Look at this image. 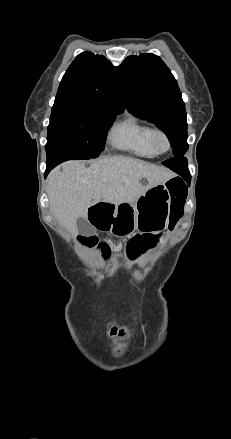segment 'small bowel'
<instances>
[{"mask_svg":"<svg viewBox=\"0 0 231 439\" xmlns=\"http://www.w3.org/2000/svg\"><path fill=\"white\" fill-rule=\"evenodd\" d=\"M141 231L142 232L137 236V239L132 240L129 244V254L132 257L148 253L155 248L161 238V233L145 232L144 230Z\"/></svg>","mask_w":231,"mask_h":439,"instance_id":"c3829d8e","label":"small bowel"}]
</instances>
